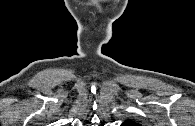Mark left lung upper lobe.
I'll use <instances>...</instances> for the list:
<instances>
[{"label": "left lung upper lobe", "mask_w": 195, "mask_h": 126, "mask_svg": "<svg viewBox=\"0 0 195 126\" xmlns=\"http://www.w3.org/2000/svg\"><path fill=\"white\" fill-rule=\"evenodd\" d=\"M126 122H128V124H129L130 126H140V124L135 123L134 121H131V120H127Z\"/></svg>", "instance_id": "5c2ea615"}]
</instances>
